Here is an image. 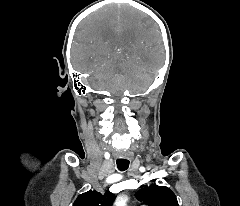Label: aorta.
Wrapping results in <instances>:
<instances>
[{
	"label": "aorta",
	"mask_w": 240,
	"mask_h": 206,
	"mask_svg": "<svg viewBox=\"0 0 240 206\" xmlns=\"http://www.w3.org/2000/svg\"><path fill=\"white\" fill-rule=\"evenodd\" d=\"M115 206H126V198L125 197H118Z\"/></svg>",
	"instance_id": "aorta-1"
}]
</instances>
